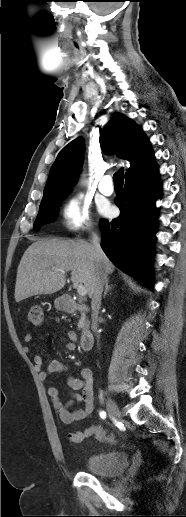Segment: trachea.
<instances>
[{"label":"trachea","instance_id":"obj_1","mask_svg":"<svg viewBox=\"0 0 186 517\" xmlns=\"http://www.w3.org/2000/svg\"><path fill=\"white\" fill-rule=\"evenodd\" d=\"M123 176H124V169L121 168L119 171H117L113 175L114 185H116V186H123Z\"/></svg>","mask_w":186,"mask_h":517}]
</instances>
